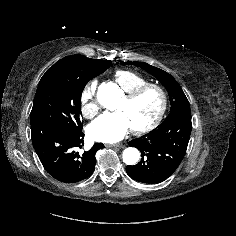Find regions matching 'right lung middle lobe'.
<instances>
[{
    "label": "right lung middle lobe",
    "mask_w": 236,
    "mask_h": 236,
    "mask_svg": "<svg viewBox=\"0 0 236 236\" xmlns=\"http://www.w3.org/2000/svg\"><path fill=\"white\" fill-rule=\"evenodd\" d=\"M111 64L105 61L81 74L45 73L37 87L30 114L31 124L45 123L70 132L82 130L81 94L89 80L103 73Z\"/></svg>",
    "instance_id": "right-lung-middle-lobe-1"
}]
</instances>
